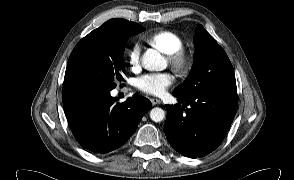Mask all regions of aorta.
I'll list each match as a JSON object with an SVG mask.
<instances>
[{
  "instance_id": "aorta-1",
  "label": "aorta",
  "mask_w": 294,
  "mask_h": 180,
  "mask_svg": "<svg viewBox=\"0 0 294 180\" xmlns=\"http://www.w3.org/2000/svg\"><path fill=\"white\" fill-rule=\"evenodd\" d=\"M143 66L150 71H162L167 67L166 59L154 49H148L142 56ZM150 118L154 122H161L165 118V112L159 107L150 111Z\"/></svg>"
}]
</instances>
